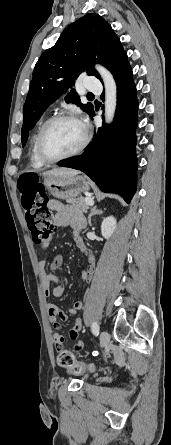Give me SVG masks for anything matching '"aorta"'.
Returning a JSON list of instances; mask_svg holds the SVG:
<instances>
[{
    "label": "aorta",
    "mask_w": 171,
    "mask_h": 445,
    "mask_svg": "<svg viewBox=\"0 0 171 445\" xmlns=\"http://www.w3.org/2000/svg\"><path fill=\"white\" fill-rule=\"evenodd\" d=\"M96 70L103 79L105 86V121L111 123L117 105V87L113 75L103 66L96 65Z\"/></svg>",
    "instance_id": "aorta-1"
}]
</instances>
